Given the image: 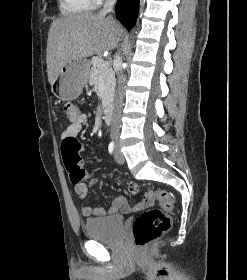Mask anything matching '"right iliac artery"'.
<instances>
[{
	"label": "right iliac artery",
	"mask_w": 247,
	"mask_h": 280,
	"mask_svg": "<svg viewBox=\"0 0 247 280\" xmlns=\"http://www.w3.org/2000/svg\"><path fill=\"white\" fill-rule=\"evenodd\" d=\"M115 149V144L114 142L112 141L110 144H109V147H108V151L110 154H113V151Z\"/></svg>",
	"instance_id": "1"
}]
</instances>
